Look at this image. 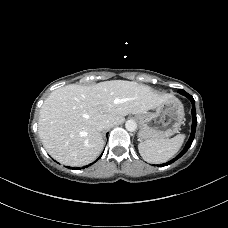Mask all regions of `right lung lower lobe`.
<instances>
[{"label": "right lung lower lobe", "instance_id": "1", "mask_svg": "<svg viewBox=\"0 0 228 228\" xmlns=\"http://www.w3.org/2000/svg\"><path fill=\"white\" fill-rule=\"evenodd\" d=\"M101 156H102V155H101ZM101 156H100L99 158H101ZM99 158H98V159H99ZM98 159H97V160H98ZM90 165H91V164H89L88 166H90ZM88 166H86V167H88ZM76 169H80V168H76Z\"/></svg>", "mask_w": 228, "mask_h": 228}]
</instances>
